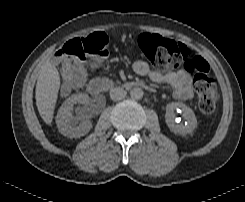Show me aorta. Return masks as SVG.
<instances>
[{
	"label": "aorta",
	"instance_id": "1",
	"mask_svg": "<svg viewBox=\"0 0 245 202\" xmlns=\"http://www.w3.org/2000/svg\"><path fill=\"white\" fill-rule=\"evenodd\" d=\"M143 90L141 88H133L130 91V96L133 100H140L143 97Z\"/></svg>",
	"mask_w": 245,
	"mask_h": 202
}]
</instances>
